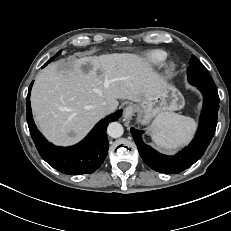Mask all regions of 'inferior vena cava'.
I'll return each mask as SVG.
<instances>
[{
	"label": "inferior vena cava",
	"instance_id": "inferior-vena-cava-1",
	"mask_svg": "<svg viewBox=\"0 0 231 231\" xmlns=\"http://www.w3.org/2000/svg\"><path fill=\"white\" fill-rule=\"evenodd\" d=\"M100 110L105 112V113H109L111 111V108L110 106L108 105L107 102H103L101 105H100Z\"/></svg>",
	"mask_w": 231,
	"mask_h": 231
}]
</instances>
